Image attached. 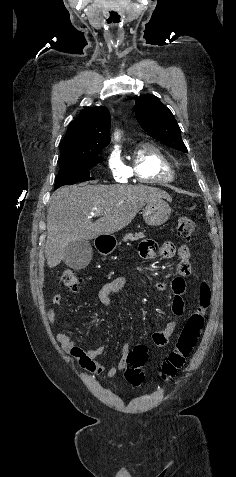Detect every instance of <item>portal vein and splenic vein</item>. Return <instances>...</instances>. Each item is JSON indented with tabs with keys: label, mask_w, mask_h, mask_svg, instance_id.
<instances>
[{
	"label": "portal vein and splenic vein",
	"mask_w": 236,
	"mask_h": 477,
	"mask_svg": "<svg viewBox=\"0 0 236 477\" xmlns=\"http://www.w3.org/2000/svg\"><path fill=\"white\" fill-rule=\"evenodd\" d=\"M90 215H91V217H99V216H101V215H102V212H100V211H97V212H91V213H90Z\"/></svg>",
	"instance_id": "1"
}]
</instances>
